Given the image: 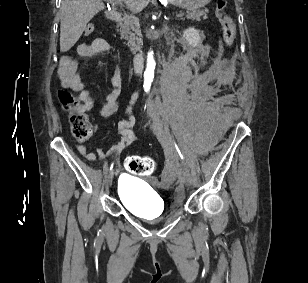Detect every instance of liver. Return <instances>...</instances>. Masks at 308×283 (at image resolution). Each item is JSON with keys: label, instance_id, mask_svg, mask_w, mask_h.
Returning <instances> with one entry per match:
<instances>
[{"label": "liver", "instance_id": "6515ba94", "mask_svg": "<svg viewBox=\"0 0 308 283\" xmlns=\"http://www.w3.org/2000/svg\"><path fill=\"white\" fill-rule=\"evenodd\" d=\"M125 2L133 10L143 9L149 0H115ZM105 5L102 0H62L60 25V51L70 50L84 32L87 23Z\"/></svg>", "mask_w": 308, "mask_h": 283}]
</instances>
